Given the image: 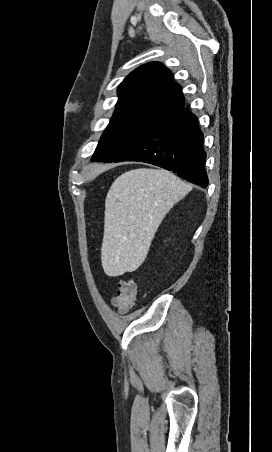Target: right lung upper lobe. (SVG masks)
<instances>
[{"label": "right lung upper lobe", "instance_id": "cb5924a9", "mask_svg": "<svg viewBox=\"0 0 272 452\" xmlns=\"http://www.w3.org/2000/svg\"><path fill=\"white\" fill-rule=\"evenodd\" d=\"M118 97L113 116L132 112L162 115L184 108L180 85L159 62L142 65L131 72L120 83Z\"/></svg>", "mask_w": 272, "mask_h": 452}]
</instances>
